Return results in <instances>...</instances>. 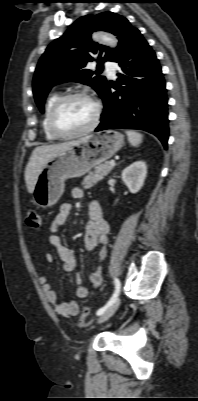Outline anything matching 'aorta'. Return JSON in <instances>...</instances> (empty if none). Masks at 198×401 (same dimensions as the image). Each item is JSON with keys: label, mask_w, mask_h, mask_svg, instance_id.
<instances>
[{"label": "aorta", "mask_w": 198, "mask_h": 401, "mask_svg": "<svg viewBox=\"0 0 198 401\" xmlns=\"http://www.w3.org/2000/svg\"><path fill=\"white\" fill-rule=\"evenodd\" d=\"M94 37L95 38L98 37V38L102 39L106 44H108L110 46H114L117 43L115 38H112V37H110L108 35H104V34L103 35H95Z\"/></svg>", "instance_id": "obj_1"}]
</instances>
